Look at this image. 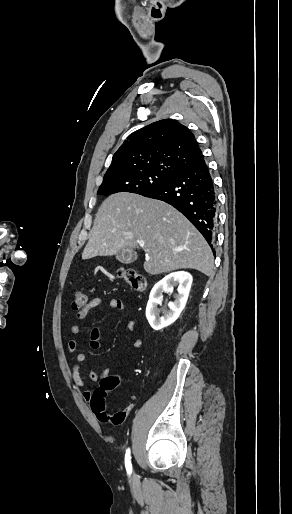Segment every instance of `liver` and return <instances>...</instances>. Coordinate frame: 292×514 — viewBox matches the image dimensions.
I'll return each mask as SVG.
<instances>
[{
	"instance_id": "1",
	"label": "liver",
	"mask_w": 292,
	"mask_h": 514,
	"mask_svg": "<svg viewBox=\"0 0 292 514\" xmlns=\"http://www.w3.org/2000/svg\"><path fill=\"white\" fill-rule=\"evenodd\" d=\"M123 248L144 250L148 274L181 268L212 274L214 258L206 240L183 214L160 200L119 192L102 202L82 260L115 256Z\"/></svg>"
}]
</instances>
